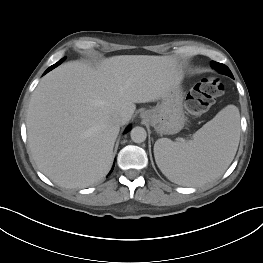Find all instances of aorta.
<instances>
[{
    "instance_id": "762f6f07",
    "label": "aorta",
    "mask_w": 263,
    "mask_h": 263,
    "mask_svg": "<svg viewBox=\"0 0 263 263\" xmlns=\"http://www.w3.org/2000/svg\"><path fill=\"white\" fill-rule=\"evenodd\" d=\"M131 139L135 143H142L146 140L147 133L143 127H134L130 133Z\"/></svg>"
}]
</instances>
